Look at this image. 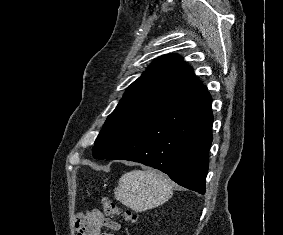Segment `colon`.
Returning <instances> with one entry per match:
<instances>
[{"instance_id":"5ec220e1","label":"colon","mask_w":283,"mask_h":235,"mask_svg":"<svg viewBox=\"0 0 283 235\" xmlns=\"http://www.w3.org/2000/svg\"><path fill=\"white\" fill-rule=\"evenodd\" d=\"M102 207H103L104 213L107 216H110V217L119 216V217H122L125 221L130 222V223H136L138 221V217L135 214L129 211L122 212L121 209H119L114 202H112L111 200L107 198H103Z\"/></svg>"}]
</instances>
